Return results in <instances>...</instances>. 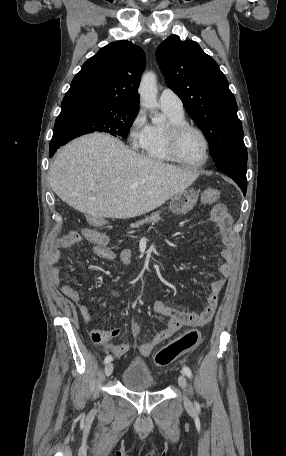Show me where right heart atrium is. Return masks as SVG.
I'll return each mask as SVG.
<instances>
[{
	"mask_svg": "<svg viewBox=\"0 0 286 456\" xmlns=\"http://www.w3.org/2000/svg\"><path fill=\"white\" fill-rule=\"evenodd\" d=\"M148 128L149 125L145 112L143 109H139L132 118L128 128V138L132 147H141L147 136Z\"/></svg>",
	"mask_w": 286,
	"mask_h": 456,
	"instance_id": "1",
	"label": "right heart atrium"
}]
</instances>
